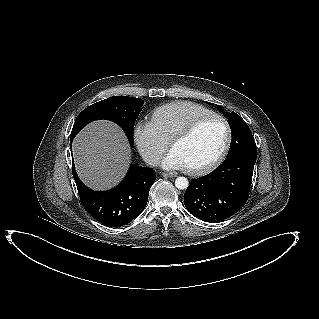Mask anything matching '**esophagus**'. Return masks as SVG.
I'll return each instance as SVG.
<instances>
[{
    "mask_svg": "<svg viewBox=\"0 0 319 319\" xmlns=\"http://www.w3.org/2000/svg\"><path fill=\"white\" fill-rule=\"evenodd\" d=\"M162 176L163 177H168V178H173V177H176V174H173V173H162Z\"/></svg>",
    "mask_w": 319,
    "mask_h": 319,
    "instance_id": "obj_1",
    "label": "esophagus"
}]
</instances>
